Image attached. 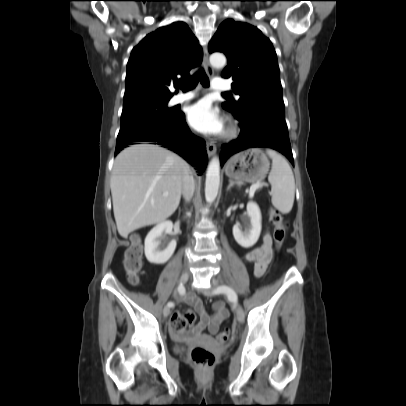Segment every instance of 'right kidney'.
I'll use <instances>...</instances> for the list:
<instances>
[{
    "label": "right kidney",
    "instance_id": "ca27d5eb",
    "mask_svg": "<svg viewBox=\"0 0 406 406\" xmlns=\"http://www.w3.org/2000/svg\"><path fill=\"white\" fill-rule=\"evenodd\" d=\"M173 224L171 221H164L157 224L146 236L145 256L150 263L164 264L173 255L176 248V241H171L165 249L160 248V240L163 232H172Z\"/></svg>",
    "mask_w": 406,
    "mask_h": 406
}]
</instances>
